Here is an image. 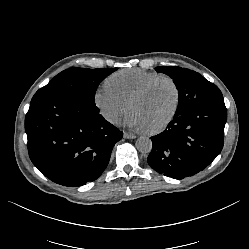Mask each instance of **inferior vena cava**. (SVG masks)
Here are the masks:
<instances>
[{
  "label": "inferior vena cava",
  "mask_w": 249,
  "mask_h": 249,
  "mask_svg": "<svg viewBox=\"0 0 249 249\" xmlns=\"http://www.w3.org/2000/svg\"><path fill=\"white\" fill-rule=\"evenodd\" d=\"M108 121L112 124H118V119L117 120H113V119H108Z\"/></svg>",
  "instance_id": "obj_1"
}]
</instances>
